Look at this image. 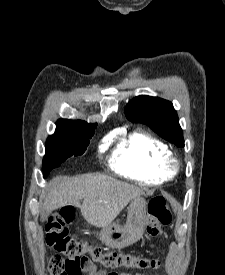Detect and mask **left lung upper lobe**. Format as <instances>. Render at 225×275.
Segmentation results:
<instances>
[{"label": "left lung upper lobe", "mask_w": 225, "mask_h": 275, "mask_svg": "<svg viewBox=\"0 0 225 275\" xmlns=\"http://www.w3.org/2000/svg\"><path fill=\"white\" fill-rule=\"evenodd\" d=\"M125 114L130 121L142 122L162 138L184 147L183 132L170 101L146 95L137 96L126 105Z\"/></svg>", "instance_id": "1"}]
</instances>
